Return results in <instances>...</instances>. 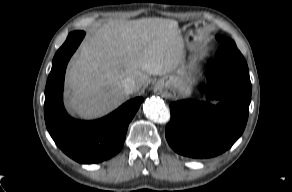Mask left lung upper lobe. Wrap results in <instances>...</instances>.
Segmentation results:
<instances>
[{
	"instance_id": "5c2ea615",
	"label": "left lung upper lobe",
	"mask_w": 292,
	"mask_h": 192,
	"mask_svg": "<svg viewBox=\"0 0 292 192\" xmlns=\"http://www.w3.org/2000/svg\"><path fill=\"white\" fill-rule=\"evenodd\" d=\"M216 38L220 42L221 46L237 48L235 42L230 38L221 35L216 36Z\"/></svg>"
}]
</instances>
